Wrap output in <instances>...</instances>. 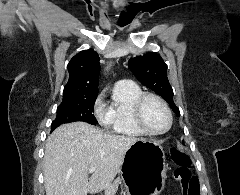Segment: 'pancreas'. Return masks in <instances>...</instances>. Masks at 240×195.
Masks as SVG:
<instances>
[{
    "instance_id": "obj_1",
    "label": "pancreas",
    "mask_w": 240,
    "mask_h": 195,
    "mask_svg": "<svg viewBox=\"0 0 240 195\" xmlns=\"http://www.w3.org/2000/svg\"><path fill=\"white\" fill-rule=\"evenodd\" d=\"M114 191H116V189H114V187H112V189H110V191H107V195H112V193H114Z\"/></svg>"
}]
</instances>
